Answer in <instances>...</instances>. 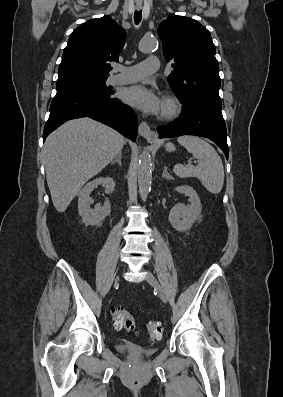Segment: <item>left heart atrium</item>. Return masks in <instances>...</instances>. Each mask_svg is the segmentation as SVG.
<instances>
[{"mask_svg": "<svg viewBox=\"0 0 283 397\" xmlns=\"http://www.w3.org/2000/svg\"><path fill=\"white\" fill-rule=\"evenodd\" d=\"M121 98L126 104L146 114H158L163 107L158 95L142 84H135L125 88Z\"/></svg>", "mask_w": 283, "mask_h": 397, "instance_id": "obj_1", "label": "left heart atrium"}]
</instances>
